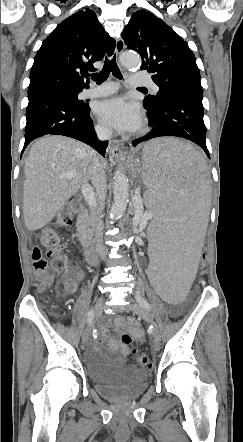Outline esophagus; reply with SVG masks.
<instances>
[{
  "instance_id": "1",
  "label": "esophagus",
  "mask_w": 243,
  "mask_h": 442,
  "mask_svg": "<svg viewBox=\"0 0 243 442\" xmlns=\"http://www.w3.org/2000/svg\"><path fill=\"white\" fill-rule=\"evenodd\" d=\"M124 48H125L124 40L121 37H119L116 41V47H115V52L117 56H119L123 52ZM109 153L110 157L119 160L126 157V153L124 152L122 145L117 141H113L111 143L109 148Z\"/></svg>"
}]
</instances>
